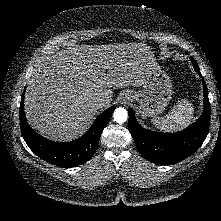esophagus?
Returning a JSON list of instances; mask_svg holds the SVG:
<instances>
[{"label":"esophagus","instance_id":"34e87169","mask_svg":"<svg viewBox=\"0 0 221 221\" xmlns=\"http://www.w3.org/2000/svg\"><path fill=\"white\" fill-rule=\"evenodd\" d=\"M128 99H129V97H127V96L122 97V101H123L124 103L127 102Z\"/></svg>","mask_w":221,"mask_h":221}]
</instances>
